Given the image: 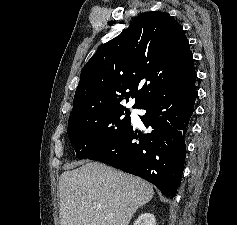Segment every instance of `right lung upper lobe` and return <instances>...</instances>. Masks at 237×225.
I'll return each mask as SVG.
<instances>
[{"instance_id": "obj_1", "label": "right lung upper lobe", "mask_w": 237, "mask_h": 225, "mask_svg": "<svg viewBox=\"0 0 237 225\" xmlns=\"http://www.w3.org/2000/svg\"><path fill=\"white\" fill-rule=\"evenodd\" d=\"M193 55L182 26L166 12H146L101 45L83 67L69 124L108 111H129L166 86L194 84Z\"/></svg>"}]
</instances>
